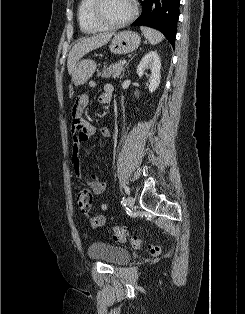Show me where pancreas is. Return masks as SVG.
Wrapping results in <instances>:
<instances>
[{"label": "pancreas", "instance_id": "pancreas-1", "mask_svg": "<svg viewBox=\"0 0 245 314\" xmlns=\"http://www.w3.org/2000/svg\"><path fill=\"white\" fill-rule=\"evenodd\" d=\"M124 72V66L122 65V61H118L109 67H106L102 70V72H98V76L103 78H119L121 73Z\"/></svg>", "mask_w": 245, "mask_h": 314}]
</instances>
